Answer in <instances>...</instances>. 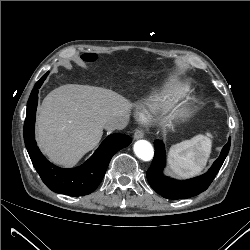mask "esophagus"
I'll return each mask as SVG.
<instances>
[{
	"instance_id": "obj_1",
	"label": "esophagus",
	"mask_w": 250,
	"mask_h": 250,
	"mask_svg": "<svg viewBox=\"0 0 250 250\" xmlns=\"http://www.w3.org/2000/svg\"><path fill=\"white\" fill-rule=\"evenodd\" d=\"M143 136H144V133H143V131L140 130V129H137V130L134 132V135H133V137H134L135 140L141 139V138H143Z\"/></svg>"
}]
</instances>
